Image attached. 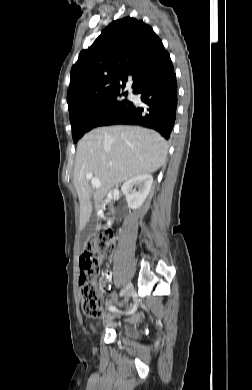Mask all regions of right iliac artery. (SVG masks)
Here are the masks:
<instances>
[{"label":"right iliac artery","instance_id":"obj_1","mask_svg":"<svg viewBox=\"0 0 252 390\" xmlns=\"http://www.w3.org/2000/svg\"><path fill=\"white\" fill-rule=\"evenodd\" d=\"M109 310L112 311V312H116V311H117V308H116L115 306H110V307H109ZM136 310H138L137 304H133V305L131 306L130 311H123V312H122V315H123V316H134ZM118 313H121V310H118Z\"/></svg>","mask_w":252,"mask_h":390}]
</instances>
